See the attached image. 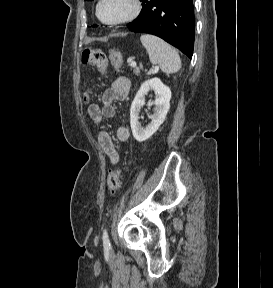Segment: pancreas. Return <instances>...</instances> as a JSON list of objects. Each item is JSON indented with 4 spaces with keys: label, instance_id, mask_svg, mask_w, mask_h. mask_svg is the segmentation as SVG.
<instances>
[{
    "label": "pancreas",
    "instance_id": "pancreas-1",
    "mask_svg": "<svg viewBox=\"0 0 273 288\" xmlns=\"http://www.w3.org/2000/svg\"><path fill=\"white\" fill-rule=\"evenodd\" d=\"M133 72H134L135 75H139V72H140V71H139L138 68H134Z\"/></svg>",
    "mask_w": 273,
    "mask_h": 288
}]
</instances>
